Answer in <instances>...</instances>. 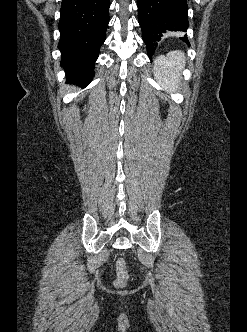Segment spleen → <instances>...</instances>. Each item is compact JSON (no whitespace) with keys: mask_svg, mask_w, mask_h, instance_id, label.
<instances>
[{"mask_svg":"<svg viewBox=\"0 0 247 332\" xmlns=\"http://www.w3.org/2000/svg\"><path fill=\"white\" fill-rule=\"evenodd\" d=\"M185 55L182 51H172L166 57L158 56L154 61L157 81L170 91H177L181 81V71L185 67Z\"/></svg>","mask_w":247,"mask_h":332,"instance_id":"3e777b00","label":"spleen"}]
</instances>
